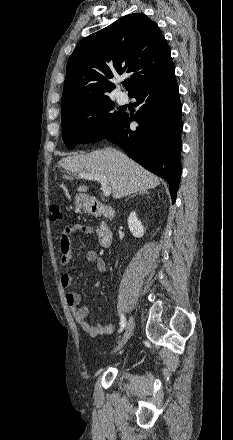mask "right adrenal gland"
<instances>
[{
	"label": "right adrenal gland",
	"mask_w": 233,
	"mask_h": 440,
	"mask_svg": "<svg viewBox=\"0 0 233 440\" xmlns=\"http://www.w3.org/2000/svg\"><path fill=\"white\" fill-rule=\"evenodd\" d=\"M143 193H147V191H140L139 193H136L135 195H132L131 197H135L138 194H143ZM127 201V200H126Z\"/></svg>",
	"instance_id": "right-adrenal-gland-1"
}]
</instances>
